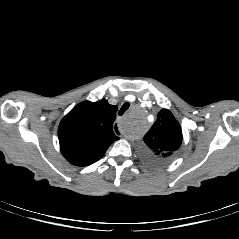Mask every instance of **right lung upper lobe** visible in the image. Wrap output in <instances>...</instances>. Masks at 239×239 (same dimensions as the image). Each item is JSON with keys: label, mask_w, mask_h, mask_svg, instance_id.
Returning <instances> with one entry per match:
<instances>
[{"label": "right lung upper lobe", "mask_w": 239, "mask_h": 239, "mask_svg": "<svg viewBox=\"0 0 239 239\" xmlns=\"http://www.w3.org/2000/svg\"><path fill=\"white\" fill-rule=\"evenodd\" d=\"M117 106L106 99L76 105L60 122L58 138L63 156L73 165L98 161L118 136L113 132Z\"/></svg>", "instance_id": "right-lung-upper-lobe-1"}]
</instances>
